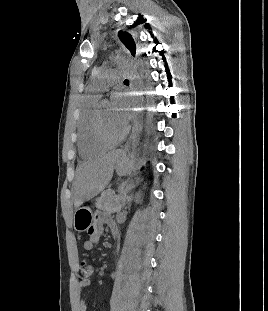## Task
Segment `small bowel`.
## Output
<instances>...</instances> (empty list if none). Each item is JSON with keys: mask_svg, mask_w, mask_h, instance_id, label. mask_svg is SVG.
<instances>
[{"mask_svg": "<svg viewBox=\"0 0 268 311\" xmlns=\"http://www.w3.org/2000/svg\"><path fill=\"white\" fill-rule=\"evenodd\" d=\"M105 226H108L113 232H116V226L114 222L105 214L97 215L95 226L89 230L90 236L83 243V248L86 251H91L94 246L99 242ZM90 278H82L79 281V288L86 293L90 287ZM78 311H86V303L84 298H80L78 301Z\"/></svg>", "mask_w": 268, "mask_h": 311, "instance_id": "obj_1", "label": "small bowel"}]
</instances>
